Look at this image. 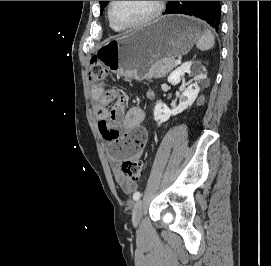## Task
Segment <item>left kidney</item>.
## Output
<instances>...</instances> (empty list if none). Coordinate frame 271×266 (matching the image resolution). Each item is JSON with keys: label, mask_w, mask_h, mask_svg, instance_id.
Returning <instances> with one entry per match:
<instances>
[{"label": "left kidney", "mask_w": 271, "mask_h": 266, "mask_svg": "<svg viewBox=\"0 0 271 266\" xmlns=\"http://www.w3.org/2000/svg\"><path fill=\"white\" fill-rule=\"evenodd\" d=\"M205 71L204 66H201L198 62H185L170 74L168 77V82L172 85L179 84L181 81V76H183L185 73L194 75L195 82L190 84L183 91L180 97L179 105L173 110H170L167 105L162 102H158L156 104L154 108V119L158 122V125L168 121L171 116H175L183 112L194 103L200 91L198 82L206 78V74L204 73Z\"/></svg>", "instance_id": "1"}]
</instances>
